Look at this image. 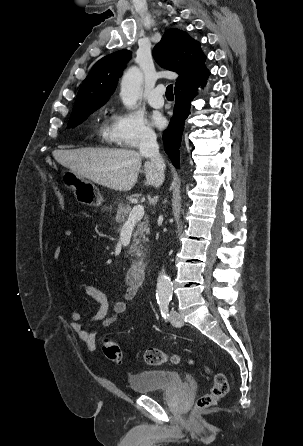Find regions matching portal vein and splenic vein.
<instances>
[{
    "instance_id": "obj_1",
    "label": "portal vein and splenic vein",
    "mask_w": 303,
    "mask_h": 446,
    "mask_svg": "<svg viewBox=\"0 0 303 446\" xmlns=\"http://www.w3.org/2000/svg\"><path fill=\"white\" fill-rule=\"evenodd\" d=\"M143 216H144V207L138 204L133 207L125 224L128 225L131 223H136L137 221L141 220Z\"/></svg>"
}]
</instances>
